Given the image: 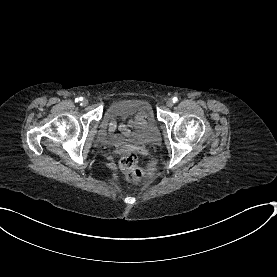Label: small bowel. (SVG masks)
Listing matches in <instances>:
<instances>
[{
  "instance_id": "obj_1",
  "label": "small bowel",
  "mask_w": 277,
  "mask_h": 277,
  "mask_svg": "<svg viewBox=\"0 0 277 277\" xmlns=\"http://www.w3.org/2000/svg\"><path fill=\"white\" fill-rule=\"evenodd\" d=\"M145 122H144V120L140 117V118H138L136 121H132V122H130V124L131 125H142V124H144ZM116 126H117V122L116 121H111L110 122V124H109V128H110V130L111 131H113L115 128H116Z\"/></svg>"
}]
</instances>
